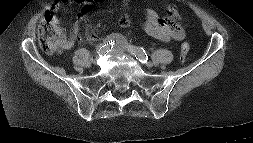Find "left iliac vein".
<instances>
[{"label": "left iliac vein", "instance_id": "1", "mask_svg": "<svg viewBox=\"0 0 253 143\" xmlns=\"http://www.w3.org/2000/svg\"><path fill=\"white\" fill-rule=\"evenodd\" d=\"M131 49H132V46H129V47H128V52L131 53V52H132ZM145 64H146L147 67H151V66H152V63H151V62H146Z\"/></svg>", "mask_w": 253, "mask_h": 143}]
</instances>
